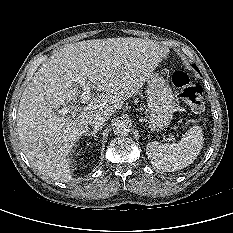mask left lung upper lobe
<instances>
[{
	"instance_id": "left-lung-upper-lobe-1",
	"label": "left lung upper lobe",
	"mask_w": 233,
	"mask_h": 233,
	"mask_svg": "<svg viewBox=\"0 0 233 233\" xmlns=\"http://www.w3.org/2000/svg\"><path fill=\"white\" fill-rule=\"evenodd\" d=\"M194 67H195V69H196L197 71H199L198 68H197L196 66H194Z\"/></svg>"
}]
</instances>
